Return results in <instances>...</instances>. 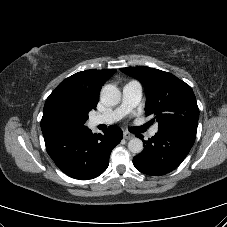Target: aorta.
Returning <instances> with one entry per match:
<instances>
[{
    "mask_svg": "<svg viewBox=\"0 0 227 227\" xmlns=\"http://www.w3.org/2000/svg\"><path fill=\"white\" fill-rule=\"evenodd\" d=\"M101 102L106 106H115L121 100V92L112 84L105 85L100 94ZM128 149L134 154H139L143 151V142L139 138H132L128 142Z\"/></svg>",
    "mask_w": 227,
    "mask_h": 227,
    "instance_id": "762f6f07",
    "label": "aorta"
}]
</instances>
